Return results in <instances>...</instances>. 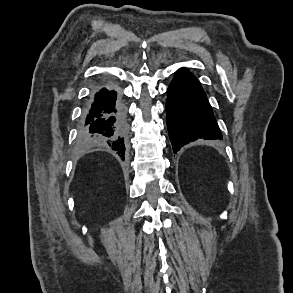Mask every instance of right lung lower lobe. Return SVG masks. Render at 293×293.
<instances>
[{
    "label": "right lung lower lobe",
    "instance_id": "1",
    "mask_svg": "<svg viewBox=\"0 0 293 293\" xmlns=\"http://www.w3.org/2000/svg\"><path fill=\"white\" fill-rule=\"evenodd\" d=\"M128 125L125 107L112 83L93 91L83 108L79 140L84 145L109 146L124 160Z\"/></svg>",
    "mask_w": 293,
    "mask_h": 293
}]
</instances>
